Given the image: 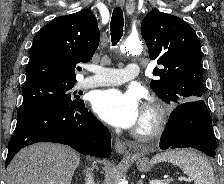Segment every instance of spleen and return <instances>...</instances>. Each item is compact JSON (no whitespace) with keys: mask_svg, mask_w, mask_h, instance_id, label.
Instances as JSON below:
<instances>
[{"mask_svg":"<svg viewBox=\"0 0 224 184\" xmlns=\"http://www.w3.org/2000/svg\"><path fill=\"white\" fill-rule=\"evenodd\" d=\"M152 163L170 162L179 166L183 172L191 177L194 184H215L214 171L208 160L192 151H167L155 155Z\"/></svg>","mask_w":224,"mask_h":184,"instance_id":"1","label":"spleen"}]
</instances>
